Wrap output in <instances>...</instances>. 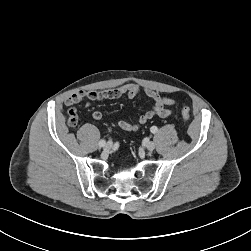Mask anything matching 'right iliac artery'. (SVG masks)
I'll use <instances>...</instances> for the list:
<instances>
[{
  "label": "right iliac artery",
  "instance_id": "82829eb1",
  "mask_svg": "<svg viewBox=\"0 0 251 251\" xmlns=\"http://www.w3.org/2000/svg\"><path fill=\"white\" fill-rule=\"evenodd\" d=\"M105 144H106V141H105V140H100V141H99V146H100V147H103Z\"/></svg>",
  "mask_w": 251,
  "mask_h": 251
}]
</instances>
